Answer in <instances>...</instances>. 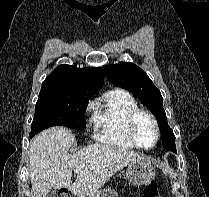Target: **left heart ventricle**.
I'll use <instances>...</instances> for the list:
<instances>
[{"label":"left heart ventricle","instance_id":"obj_1","mask_svg":"<svg viewBox=\"0 0 209 197\" xmlns=\"http://www.w3.org/2000/svg\"><path fill=\"white\" fill-rule=\"evenodd\" d=\"M136 136L139 143L144 147H149L154 143L155 130L151 120L147 116H140L136 124Z\"/></svg>","mask_w":209,"mask_h":197}]
</instances>
